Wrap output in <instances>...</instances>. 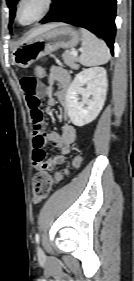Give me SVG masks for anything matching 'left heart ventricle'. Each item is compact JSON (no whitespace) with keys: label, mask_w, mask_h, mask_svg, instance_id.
<instances>
[{"label":"left heart ventricle","mask_w":134,"mask_h":281,"mask_svg":"<svg viewBox=\"0 0 134 281\" xmlns=\"http://www.w3.org/2000/svg\"><path fill=\"white\" fill-rule=\"evenodd\" d=\"M44 7V0H25L19 11L22 23H28L35 19Z\"/></svg>","instance_id":"1"}]
</instances>
